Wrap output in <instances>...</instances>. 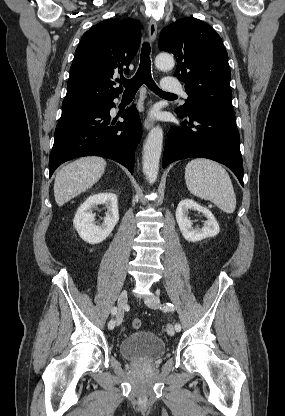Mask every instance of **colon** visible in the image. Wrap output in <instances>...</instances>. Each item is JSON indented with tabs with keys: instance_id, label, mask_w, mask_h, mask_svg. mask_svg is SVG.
Instances as JSON below:
<instances>
[{
	"instance_id": "colon-1",
	"label": "colon",
	"mask_w": 285,
	"mask_h": 416,
	"mask_svg": "<svg viewBox=\"0 0 285 416\" xmlns=\"http://www.w3.org/2000/svg\"><path fill=\"white\" fill-rule=\"evenodd\" d=\"M142 323L140 319H134L131 323V326L133 329H139L141 327Z\"/></svg>"
}]
</instances>
